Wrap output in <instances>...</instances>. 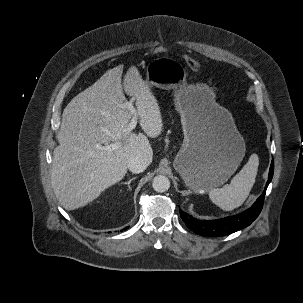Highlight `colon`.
<instances>
[{
    "label": "colon",
    "mask_w": 303,
    "mask_h": 303,
    "mask_svg": "<svg viewBox=\"0 0 303 303\" xmlns=\"http://www.w3.org/2000/svg\"><path fill=\"white\" fill-rule=\"evenodd\" d=\"M166 51H167L166 47H164L162 45L156 46L153 50L154 54H156V55L163 54ZM184 61H185L186 65L193 71H199L201 69L200 62L197 59H195L189 55L184 56Z\"/></svg>",
    "instance_id": "1"
}]
</instances>
